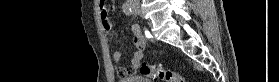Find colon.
Wrapping results in <instances>:
<instances>
[{
    "instance_id": "1",
    "label": "colon",
    "mask_w": 279,
    "mask_h": 82,
    "mask_svg": "<svg viewBox=\"0 0 279 82\" xmlns=\"http://www.w3.org/2000/svg\"><path fill=\"white\" fill-rule=\"evenodd\" d=\"M139 73L145 77L164 82H185L184 77L179 73L154 64L141 66Z\"/></svg>"
}]
</instances>
